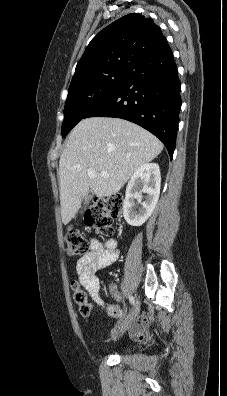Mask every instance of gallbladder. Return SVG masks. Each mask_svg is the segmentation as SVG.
I'll use <instances>...</instances> for the list:
<instances>
[{"label":"gallbladder","instance_id":"gallbladder-1","mask_svg":"<svg viewBox=\"0 0 227 396\" xmlns=\"http://www.w3.org/2000/svg\"><path fill=\"white\" fill-rule=\"evenodd\" d=\"M91 198H92V194H91V193L87 194V195L85 196V198H84V204H85V205H88L89 202H90V200H91ZM69 229H71V227H69Z\"/></svg>","mask_w":227,"mask_h":396}]
</instances>
